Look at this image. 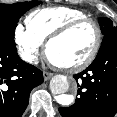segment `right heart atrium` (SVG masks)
<instances>
[{"instance_id": "d8ad5b80", "label": "right heart atrium", "mask_w": 117, "mask_h": 117, "mask_svg": "<svg viewBox=\"0 0 117 117\" xmlns=\"http://www.w3.org/2000/svg\"><path fill=\"white\" fill-rule=\"evenodd\" d=\"M14 41L23 60L30 64L38 61L42 43L21 24L14 28Z\"/></svg>"}]
</instances>
